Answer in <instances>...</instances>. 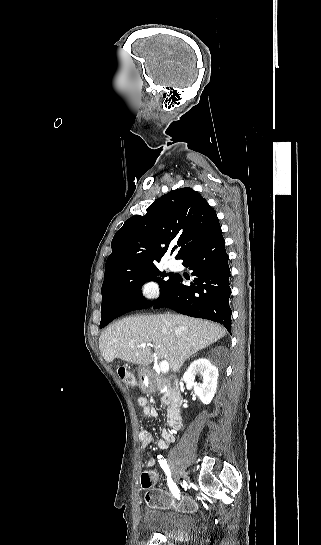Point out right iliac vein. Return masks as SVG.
<instances>
[{"instance_id":"1","label":"right iliac vein","mask_w":321,"mask_h":545,"mask_svg":"<svg viewBox=\"0 0 321 545\" xmlns=\"http://www.w3.org/2000/svg\"><path fill=\"white\" fill-rule=\"evenodd\" d=\"M180 476H181L182 478H184V477H185V473H181ZM181 482H182V480H179L177 483L179 484V483H181Z\"/></svg>"}]
</instances>
